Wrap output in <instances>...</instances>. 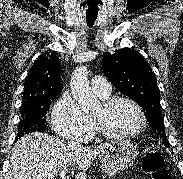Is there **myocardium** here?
<instances>
[{"label": "myocardium", "mask_w": 183, "mask_h": 179, "mask_svg": "<svg viewBox=\"0 0 183 179\" xmlns=\"http://www.w3.org/2000/svg\"><path fill=\"white\" fill-rule=\"evenodd\" d=\"M120 102H127V103L131 104L137 110V112L140 116V124L132 132L114 133V132L107 130L96 117H93L96 129L104 137H107L110 139L132 138V137H135L138 134H140L145 129V127L147 125V118H146V114H145L143 108L141 107V105L138 102H136L134 99H132L130 97H127V96L109 97V98L103 100L102 106L105 110H110L111 108H113L115 105H117Z\"/></svg>", "instance_id": "f54148a6"}]
</instances>
